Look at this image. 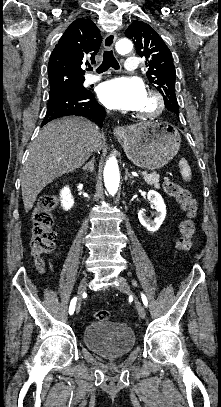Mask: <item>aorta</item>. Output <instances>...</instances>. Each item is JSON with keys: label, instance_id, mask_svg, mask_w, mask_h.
Returning <instances> with one entry per match:
<instances>
[{"label": "aorta", "instance_id": "obj_1", "mask_svg": "<svg viewBox=\"0 0 221 407\" xmlns=\"http://www.w3.org/2000/svg\"><path fill=\"white\" fill-rule=\"evenodd\" d=\"M132 42L129 39H121L116 43V50L121 54L128 53L132 50ZM104 184L110 195H115L120 182L119 168L114 156L110 157L104 167Z\"/></svg>", "mask_w": 221, "mask_h": 407}]
</instances>
